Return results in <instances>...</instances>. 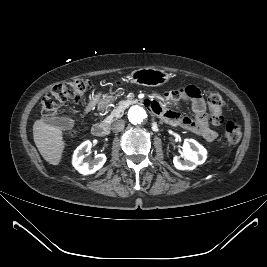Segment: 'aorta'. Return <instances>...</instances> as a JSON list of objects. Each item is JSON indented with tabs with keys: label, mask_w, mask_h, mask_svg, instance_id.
Here are the masks:
<instances>
[{
	"label": "aorta",
	"mask_w": 267,
	"mask_h": 267,
	"mask_svg": "<svg viewBox=\"0 0 267 267\" xmlns=\"http://www.w3.org/2000/svg\"><path fill=\"white\" fill-rule=\"evenodd\" d=\"M146 118L147 113L145 109L140 106H133L128 112V119L134 125L143 123Z\"/></svg>",
	"instance_id": "obj_1"
}]
</instances>
